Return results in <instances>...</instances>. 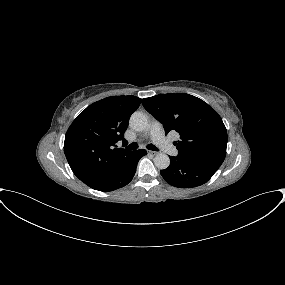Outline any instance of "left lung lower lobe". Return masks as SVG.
I'll list each match as a JSON object with an SVG mask.
<instances>
[{"label":"left lung lower lobe","mask_w":285,"mask_h":285,"mask_svg":"<svg viewBox=\"0 0 285 285\" xmlns=\"http://www.w3.org/2000/svg\"><path fill=\"white\" fill-rule=\"evenodd\" d=\"M168 168L161 170L162 177L172 186L178 188H193L206 183L218 170L219 165L185 159L181 157H170Z\"/></svg>","instance_id":"left-lung-lower-lobe-1"}]
</instances>
